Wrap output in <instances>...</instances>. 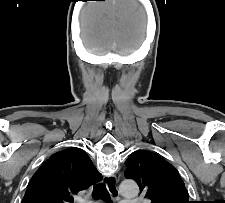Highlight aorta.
<instances>
[{"label": "aorta", "mask_w": 225, "mask_h": 203, "mask_svg": "<svg viewBox=\"0 0 225 203\" xmlns=\"http://www.w3.org/2000/svg\"><path fill=\"white\" fill-rule=\"evenodd\" d=\"M119 191L123 196H136L139 192L138 185L133 180H123L119 185Z\"/></svg>", "instance_id": "obj_1"}]
</instances>
